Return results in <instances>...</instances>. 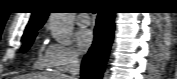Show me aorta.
Wrapping results in <instances>:
<instances>
[{
  "label": "aorta",
  "mask_w": 177,
  "mask_h": 79,
  "mask_svg": "<svg viewBox=\"0 0 177 79\" xmlns=\"http://www.w3.org/2000/svg\"><path fill=\"white\" fill-rule=\"evenodd\" d=\"M72 13H51L49 28L53 38L62 45H68L73 33Z\"/></svg>",
  "instance_id": "obj_1"
}]
</instances>
